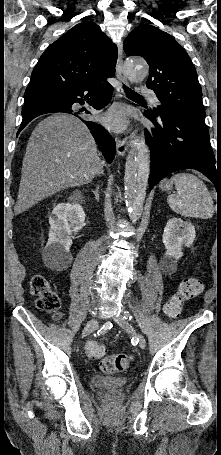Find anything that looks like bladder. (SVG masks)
<instances>
[{
    "mask_svg": "<svg viewBox=\"0 0 221 455\" xmlns=\"http://www.w3.org/2000/svg\"><path fill=\"white\" fill-rule=\"evenodd\" d=\"M91 382L98 388L117 389L127 383V378L125 376L93 375Z\"/></svg>",
    "mask_w": 221,
    "mask_h": 455,
    "instance_id": "bladder-1",
    "label": "bladder"
}]
</instances>
